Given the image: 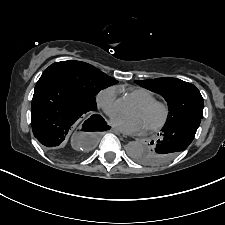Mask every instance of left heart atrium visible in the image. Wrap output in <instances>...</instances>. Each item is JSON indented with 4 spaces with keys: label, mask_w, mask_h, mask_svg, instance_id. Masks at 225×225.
<instances>
[{
    "label": "left heart atrium",
    "mask_w": 225,
    "mask_h": 225,
    "mask_svg": "<svg viewBox=\"0 0 225 225\" xmlns=\"http://www.w3.org/2000/svg\"><path fill=\"white\" fill-rule=\"evenodd\" d=\"M112 124L118 129L132 134L142 133L148 128L145 120L141 116L126 117L116 115L112 118Z\"/></svg>",
    "instance_id": "obj_1"
}]
</instances>
